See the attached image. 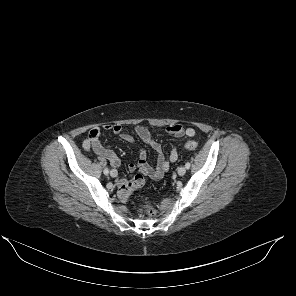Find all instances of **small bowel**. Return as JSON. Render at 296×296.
<instances>
[{"mask_svg":"<svg viewBox=\"0 0 296 296\" xmlns=\"http://www.w3.org/2000/svg\"><path fill=\"white\" fill-rule=\"evenodd\" d=\"M102 130L111 131L131 144H135V141L133 137L118 124H106L102 128L94 127L89 131L87 138L83 141L84 150H92L97 155L107 159L114 168H118L121 162L117 154L113 150L104 147L99 141ZM166 131L175 137H192L195 135V130L193 128H185L181 124H172L166 128ZM133 132L155 151L156 165L155 167L150 166L147 162L148 155L146 150L138 148L139 160L137 163H131L128 166L129 171L133 172L139 170L143 176H147L154 180L160 179L163 174L168 171L170 164L178 160L177 148L171 146L170 155L166 158L161 144L155 140L148 128L144 126H135L133 127ZM126 182L128 181L123 178L117 180L119 188Z\"/></svg>","mask_w":296,"mask_h":296,"instance_id":"obj_1","label":"small bowel"}]
</instances>
